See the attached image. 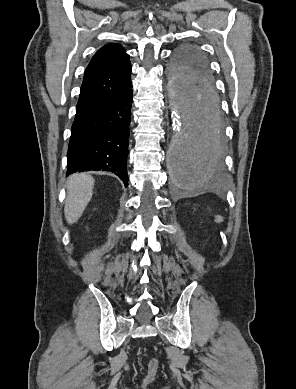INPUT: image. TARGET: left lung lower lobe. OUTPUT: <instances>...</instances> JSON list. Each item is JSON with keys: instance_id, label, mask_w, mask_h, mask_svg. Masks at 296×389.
Masks as SVG:
<instances>
[{"instance_id": "0a47b994", "label": "left lung lower lobe", "mask_w": 296, "mask_h": 389, "mask_svg": "<svg viewBox=\"0 0 296 389\" xmlns=\"http://www.w3.org/2000/svg\"><path fill=\"white\" fill-rule=\"evenodd\" d=\"M189 85L180 87L182 94L192 99L203 117L196 122L188 140L182 142L176 169L182 170L186 179L219 176L223 156V124L214 82L197 76L192 83L195 87Z\"/></svg>"}]
</instances>
